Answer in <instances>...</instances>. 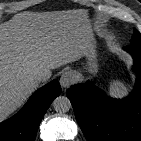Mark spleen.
<instances>
[{
  "label": "spleen",
  "mask_w": 141,
  "mask_h": 141,
  "mask_svg": "<svg viewBox=\"0 0 141 141\" xmlns=\"http://www.w3.org/2000/svg\"><path fill=\"white\" fill-rule=\"evenodd\" d=\"M127 87L120 81H113L109 86V94L111 96H123L126 94Z\"/></svg>",
  "instance_id": "obj_1"
}]
</instances>
